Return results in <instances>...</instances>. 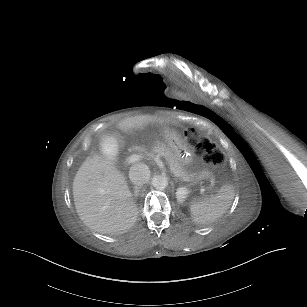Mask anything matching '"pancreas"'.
Masks as SVG:
<instances>
[{"label": "pancreas", "mask_w": 307, "mask_h": 307, "mask_svg": "<svg viewBox=\"0 0 307 307\" xmlns=\"http://www.w3.org/2000/svg\"><path fill=\"white\" fill-rule=\"evenodd\" d=\"M156 153H160L161 155L167 156V160L170 163V167L173 173L176 174L177 177H184V179L189 180L192 177L191 172L187 171L186 168L181 167L177 157L173 154L172 149L167 148L164 144H159L155 148ZM195 180L200 181L203 178L202 173L197 172L194 175Z\"/></svg>", "instance_id": "1"}]
</instances>
